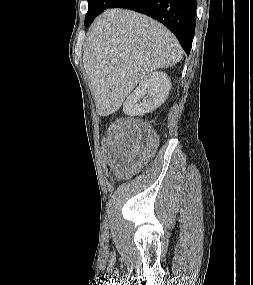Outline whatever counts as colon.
Instances as JSON below:
<instances>
[{"label":"colon","instance_id":"1","mask_svg":"<svg viewBox=\"0 0 253 285\" xmlns=\"http://www.w3.org/2000/svg\"><path fill=\"white\" fill-rule=\"evenodd\" d=\"M101 144L104 145L102 157L104 160L101 161L103 167H100V172H113V160L111 158V147L108 140H102ZM108 180L112 179L111 175L107 176Z\"/></svg>","mask_w":253,"mask_h":285}]
</instances>
